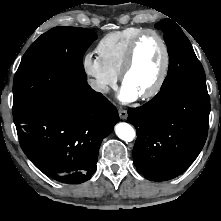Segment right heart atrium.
Instances as JSON below:
<instances>
[{
    "label": "right heart atrium",
    "mask_w": 221,
    "mask_h": 221,
    "mask_svg": "<svg viewBox=\"0 0 221 221\" xmlns=\"http://www.w3.org/2000/svg\"><path fill=\"white\" fill-rule=\"evenodd\" d=\"M82 67L90 79L92 88L100 94L107 93L117 82V75L112 73L102 60L92 53L84 55Z\"/></svg>",
    "instance_id": "1"
}]
</instances>
